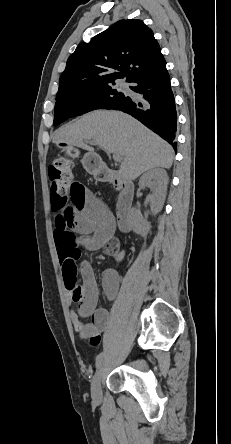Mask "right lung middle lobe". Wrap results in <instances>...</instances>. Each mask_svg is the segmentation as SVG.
I'll use <instances>...</instances> for the list:
<instances>
[{"mask_svg": "<svg viewBox=\"0 0 231 444\" xmlns=\"http://www.w3.org/2000/svg\"><path fill=\"white\" fill-rule=\"evenodd\" d=\"M114 84L56 95L53 125H59L70 117L82 115L95 109H110L126 97L122 92L113 87Z\"/></svg>", "mask_w": 231, "mask_h": 444, "instance_id": "dd1d6c3e", "label": "right lung middle lobe"}]
</instances>
